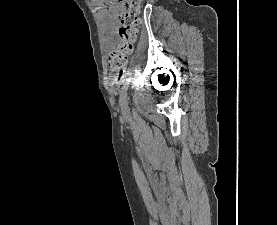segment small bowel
I'll return each mask as SVG.
<instances>
[{
	"label": "small bowel",
	"instance_id": "obj_1",
	"mask_svg": "<svg viewBox=\"0 0 277 225\" xmlns=\"http://www.w3.org/2000/svg\"><path fill=\"white\" fill-rule=\"evenodd\" d=\"M122 8L121 4L116 6H110L108 11L101 13V16L105 19H108L110 23L113 22V19L117 16L118 11Z\"/></svg>",
	"mask_w": 277,
	"mask_h": 225
}]
</instances>
